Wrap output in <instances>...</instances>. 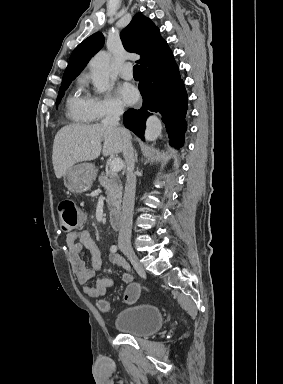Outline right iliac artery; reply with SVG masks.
<instances>
[{"label":"right iliac artery","mask_w":283,"mask_h":384,"mask_svg":"<svg viewBox=\"0 0 283 384\" xmlns=\"http://www.w3.org/2000/svg\"><path fill=\"white\" fill-rule=\"evenodd\" d=\"M110 251L112 253H115L117 251V246L116 245H112L111 248H110Z\"/></svg>","instance_id":"right-iliac-artery-1"}]
</instances>
